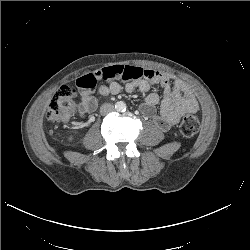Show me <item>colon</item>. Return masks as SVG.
<instances>
[{"mask_svg":"<svg viewBox=\"0 0 250 250\" xmlns=\"http://www.w3.org/2000/svg\"><path fill=\"white\" fill-rule=\"evenodd\" d=\"M74 86H62L52 98L46 116L50 121H66L74 113L76 103ZM179 131L186 138L194 137L199 131V120L195 115H186L179 125Z\"/></svg>","mask_w":250,"mask_h":250,"instance_id":"colon-1","label":"colon"}]
</instances>
